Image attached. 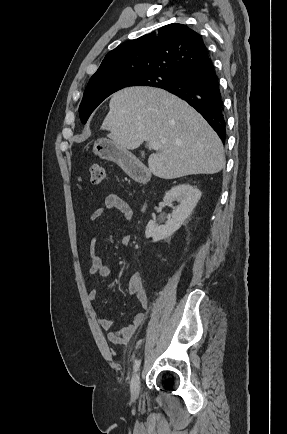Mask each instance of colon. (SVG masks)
Listing matches in <instances>:
<instances>
[{
	"label": "colon",
	"mask_w": 287,
	"mask_h": 434,
	"mask_svg": "<svg viewBox=\"0 0 287 434\" xmlns=\"http://www.w3.org/2000/svg\"><path fill=\"white\" fill-rule=\"evenodd\" d=\"M91 183L97 185L101 183L107 175V169L103 165L94 164L90 168Z\"/></svg>",
	"instance_id": "colon-1"
}]
</instances>
